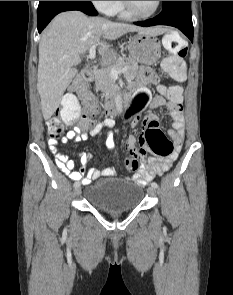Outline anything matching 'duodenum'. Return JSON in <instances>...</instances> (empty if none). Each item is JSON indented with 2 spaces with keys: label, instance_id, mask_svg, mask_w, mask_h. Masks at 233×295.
<instances>
[{
  "label": "duodenum",
  "instance_id": "410a0bca",
  "mask_svg": "<svg viewBox=\"0 0 233 295\" xmlns=\"http://www.w3.org/2000/svg\"><path fill=\"white\" fill-rule=\"evenodd\" d=\"M83 77L86 81H91L95 77V70L93 68H87L83 72ZM130 100V94L124 93L119 94L115 93L114 97L106 101L104 109L107 115L115 114L118 111L120 105L128 103Z\"/></svg>",
  "mask_w": 233,
  "mask_h": 295
}]
</instances>
